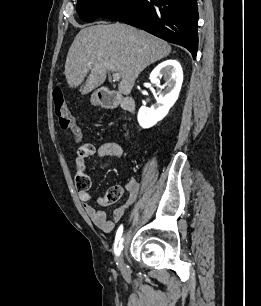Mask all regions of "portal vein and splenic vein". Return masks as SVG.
I'll use <instances>...</instances> for the list:
<instances>
[{
	"label": "portal vein and splenic vein",
	"instance_id": "obj_1",
	"mask_svg": "<svg viewBox=\"0 0 261 306\" xmlns=\"http://www.w3.org/2000/svg\"><path fill=\"white\" fill-rule=\"evenodd\" d=\"M113 81H119L120 80V74L119 73H113Z\"/></svg>",
	"mask_w": 261,
	"mask_h": 306
}]
</instances>
